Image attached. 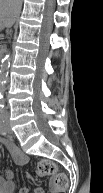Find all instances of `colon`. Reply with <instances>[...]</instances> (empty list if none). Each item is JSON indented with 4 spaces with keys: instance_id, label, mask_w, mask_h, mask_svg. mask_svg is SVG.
<instances>
[{
    "instance_id": "obj_1",
    "label": "colon",
    "mask_w": 103,
    "mask_h": 193,
    "mask_svg": "<svg viewBox=\"0 0 103 193\" xmlns=\"http://www.w3.org/2000/svg\"><path fill=\"white\" fill-rule=\"evenodd\" d=\"M38 172L44 176H54V184L59 190L68 188L69 180L67 175L60 172L53 161L41 159L38 163Z\"/></svg>"
}]
</instances>
